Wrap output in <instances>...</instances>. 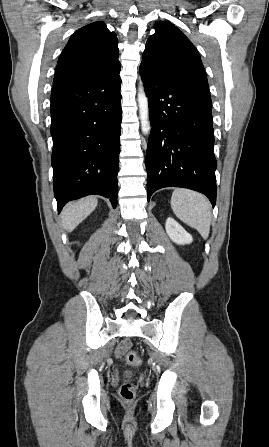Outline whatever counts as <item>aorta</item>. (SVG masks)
Segmentation results:
<instances>
[{"mask_svg": "<svg viewBox=\"0 0 269 447\" xmlns=\"http://www.w3.org/2000/svg\"><path fill=\"white\" fill-rule=\"evenodd\" d=\"M137 102L139 106L141 132L144 136H147V134H150L151 126L149 122L148 98H146L142 84H140L139 92L137 94Z\"/></svg>", "mask_w": 269, "mask_h": 447, "instance_id": "aorta-1", "label": "aorta"}]
</instances>
